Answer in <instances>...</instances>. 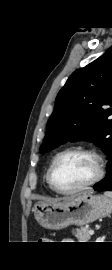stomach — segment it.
<instances>
[{
  "label": "stomach",
  "mask_w": 112,
  "mask_h": 270,
  "mask_svg": "<svg viewBox=\"0 0 112 270\" xmlns=\"http://www.w3.org/2000/svg\"><path fill=\"white\" fill-rule=\"evenodd\" d=\"M37 222L46 229L60 230L69 225L84 226L112 213V199L83 193L66 200L37 202L33 208Z\"/></svg>",
  "instance_id": "1"
}]
</instances>
